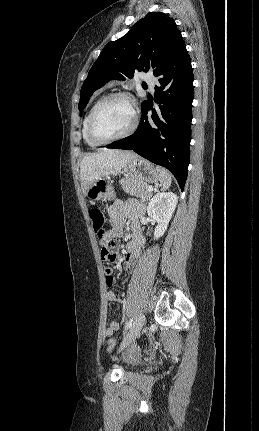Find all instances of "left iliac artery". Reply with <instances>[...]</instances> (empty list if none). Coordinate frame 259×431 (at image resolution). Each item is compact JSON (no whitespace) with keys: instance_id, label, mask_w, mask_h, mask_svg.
Returning a JSON list of instances; mask_svg holds the SVG:
<instances>
[{"instance_id":"1","label":"left iliac artery","mask_w":259,"mask_h":431,"mask_svg":"<svg viewBox=\"0 0 259 431\" xmlns=\"http://www.w3.org/2000/svg\"><path fill=\"white\" fill-rule=\"evenodd\" d=\"M133 319L131 318L125 325V330H128L132 326Z\"/></svg>"}]
</instances>
